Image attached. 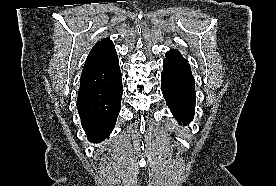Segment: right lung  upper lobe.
Masks as SVG:
<instances>
[{
    "instance_id": "cb5924a9",
    "label": "right lung upper lobe",
    "mask_w": 276,
    "mask_h": 186,
    "mask_svg": "<svg viewBox=\"0 0 276 186\" xmlns=\"http://www.w3.org/2000/svg\"><path fill=\"white\" fill-rule=\"evenodd\" d=\"M119 74L121 72L115 46L109 38H103L94 45L86 59L80 86L109 82Z\"/></svg>"
}]
</instances>
